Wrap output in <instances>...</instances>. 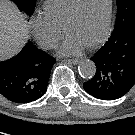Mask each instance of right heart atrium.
I'll return each instance as SVG.
<instances>
[{
  "instance_id": "d8ad5b80",
  "label": "right heart atrium",
  "mask_w": 135,
  "mask_h": 135,
  "mask_svg": "<svg viewBox=\"0 0 135 135\" xmlns=\"http://www.w3.org/2000/svg\"><path fill=\"white\" fill-rule=\"evenodd\" d=\"M31 31L37 42L47 49L55 47L63 36L62 28L45 13H39L32 18Z\"/></svg>"
}]
</instances>
